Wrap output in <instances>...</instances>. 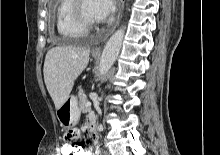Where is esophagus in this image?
Here are the masks:
<instances>
[{
    "mask_svg": "<svg viewBox=\"0 0 220 155\" xmlns=\"http://www.w3.org/2000/svg\"><path fill=\"white\" fill-rule=\"evenodd\" d=\"M124 2H125V0H120V10H119L118 18H117V21H116V26L118 25V23L120 21V18L122 16V12H123V8H124ZM100 51H101L100 47H97V48L93 49V53H100Z\"/></svg>",
    "mask_w": 220,
    "mask_h": 155,
    "instance_id": "esophagus-1",
    "label": "esophagus"
}]
</instances>
